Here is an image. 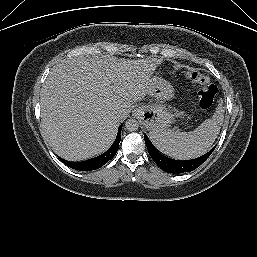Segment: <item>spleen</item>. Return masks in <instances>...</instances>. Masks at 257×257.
Returning a JSON list of instances; mask_svg holds the SVG:
<instances>
[{
    "label": "spleen",
    "instance_id": "3e777b00",
    "mask_svg": "<svg viewBox=\"0 0 257 257\" xmlns=\"http://www.w3.org/2000/svg\"><path fill=\"white\" fill-rule=\"evenodd\" d=\"M224 119V107L219 104L213 116L194 131H150L153 145L164 155L174 159H192L205 154L215 142Z\"/></svg>",
    "mask_w": 257,
    "mask_h": 257
}]
</instances>
